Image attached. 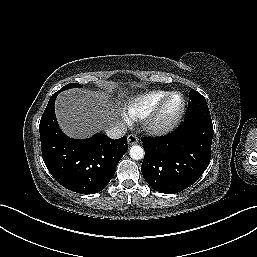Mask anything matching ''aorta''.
I'll return each mask as SVG.
<instances>
[{
  "label": "aorta",
  "instance_id": "aorta-1",
  "mask_svg": "<svg viewBox=\"0 0 257 257\" xmlns=\"http://www.w3.org/2000/svg\"><path fill=\"white\" fill-rule=\"evenodd\" d=\"M130 157L134 160H140L144 157V149L139 145H133L130 148Z\"/></svg>",
  "mask_w": 257,
  "mask_h": 257
}]
</instances>
